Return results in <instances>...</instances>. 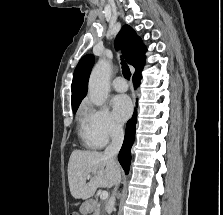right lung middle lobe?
Returning <instances> with one entry per match:
<instances>
[{
    "instance_id": "1",
    "label": "right lung middle lobe",
    "mask_w": 223,
    "mask_h": 215,
    "mask_svg": "<svg viewBox=\"0 0 223 215\" xmlns=\"http://www.w3.org/2000/svg\"><path fill=\"white\" fill-rule=\"evenodd\" d=\"M77 111V108L76 109H73V112L75 113Z\"/></svg>"
}]
</instances>
